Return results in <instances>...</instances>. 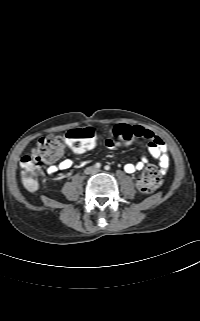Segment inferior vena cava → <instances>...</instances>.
<instances>
[{"mask_svg":"<svg viewBox=\"0 0 200 321\" xmlns=\"http://www.w3.org/2000/svg\"><path fill=\"white\" fill-rule=\"evenodd\" d=\"M98 170L95 167H88L85 169V174H92V173H96Z\"/></svg>","mask_w":200,"mask_h":321,"instance_id":"1","label":"inferior vena cava"}]
</instances>
